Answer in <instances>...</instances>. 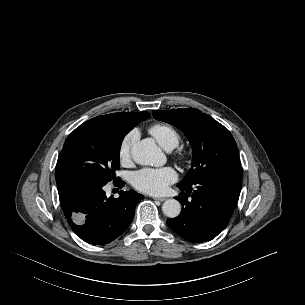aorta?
Returning a JSON list of instances; mask_svg holds the SVG:
<instances>
[{"label":"aorta","instance_id":"obj_1","mask_svg":"<svg viewBox=\"0 0 305 305\" xmlns=\"http://www.w3.org/2000/svg\"><path fill=\"white\" fill-rule=\"evenodd\" d=\"M132 159L140 165H163L166 161L161 149L151 140L136 142L131 148ZM163 213L169 218L177 217L181 212V204L175 199H168L162 205Z\"/></svg>","mask_w":305,"mask_h":305}]
</instances>
